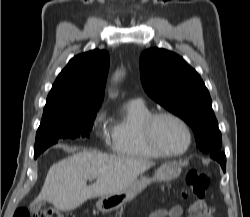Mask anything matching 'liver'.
<instances>
[{"instance_id":"1","label":"liver","mask_w":250,"mask_h":217,"mask_svg":"<svg viewBox=\"0 0 250 217\" xmlns=\"http://www.w3.org/2000/svg\"><path fill=\"white\" fill-rule=\"evenodd\" d=\"M152 165L144 159L82 151L49 169L41 192L32 205L48 201L59 210H73L88 199L125 190ZM91 177H95L96 182L87 186Z\"/></svg>"}]
</instances>
